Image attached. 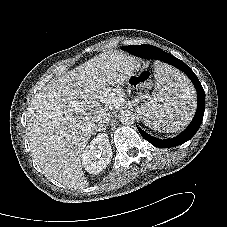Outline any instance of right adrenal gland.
<instances>
[{
  "instance_id": "right-adrenal-gland-1",
  "label": "right adrenal gland",
  "mask_w": 227,
  "mask_h": 227,
  "mask_svg": "<svg viewBox=\"0 0 227 227\" xmlns=\"http://www.w3.org/2000/svg\"><path fill=\"white\" fill-rule=\"evenodd\" d=\"M107 126H108V125H106V126L103 128V131H104V132L106 131Z\"/></svg>"
}]
</instances>
